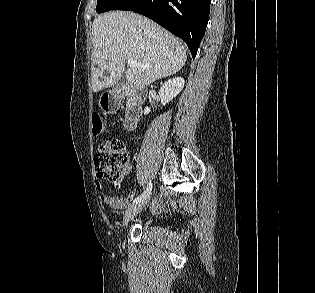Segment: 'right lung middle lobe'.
I'll list each match as a JSON object with an SVG mask.
<instances>
[{
    "mask_svg": "<svg viewBox=\"0 0 315 293\" xmlns=\"http://www.w3.org/2000/svg\"><path fill=\"white\" fill-rule=\"evenodd\" d=\"M118 1L119 0H97L96 12L102 13L109 11Z\"/></svg>",
    "mask_w": 315,
    "mask_h": 293,
    "instance_id": "dd1d6c3e",
    "label": "right lung middle lobe"
}]
</instances>
